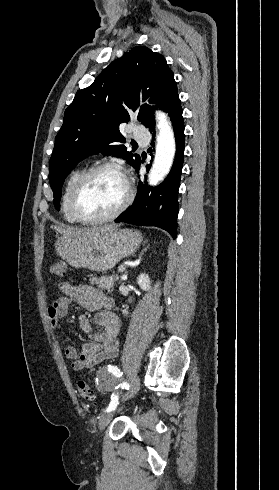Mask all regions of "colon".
I'll use <instances>...</instances> for the list:
<instances>
[{
  "instance_id": "obj_1",
  "label": "colon",
  "mask_w": 279,
  "mask_h": 490,
  "mask_svg": "<svg viewBox=\"0 0 279 490\" xmlns=\"http://www.w3.org/2000/svg\"><path fill=\"white\" fill-rule=\"evenodd\" d=\"M65 268H66L65 263L61 260H58V261L51 262L48 265L47 270L50 275L55 276L57 278H62L65 275ZM77 387H78V393L83 400L87 402L94 401L95 399L94 391L87 382H85L84 380H78Z\"/></svg>"
}]
</instances>
